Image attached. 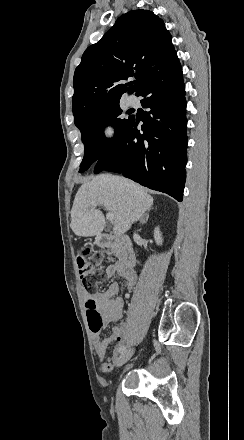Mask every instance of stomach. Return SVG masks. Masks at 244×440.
I'll return each mask as SVG.
<instances>
[{"label":"stomach","instance_id":"obj_1","mask_svg":"<svg viewBox=\"0 0 244 440\" xmlns=\"http://www.w3.org/2000/svg\"><path fill=\"white\" fill-rule=\"evenodd\" d=\"M95 242H96V244H99V242H100V238H99V236H96V240H95Z\"/></svg>","mask_w":244,"mask_h":440}]
</instances>
